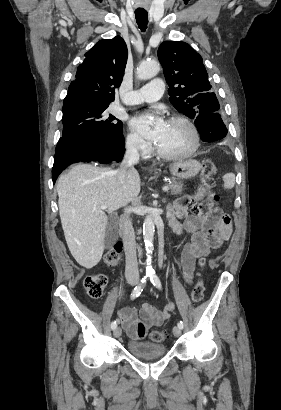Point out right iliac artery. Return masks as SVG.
<instances>
[{"label": "right iliac artery", "mask_w": 281, "mask_h": 410, "mask_svg": "<svg viewBox=\"0 0 281 410\" xmlns=\"http://www.w3.org/2000/svg\"><path fill=\"white\" fill-rule=\"evenodd\" d=\"M147 277H148V275H145V276L141 279V281H140V283L138 284V286H136V287L134 288V290H133L132 293H131V299H134V298L138 297V296L141 294V291H142L143 287L145 286V284H146V282H147ZM116 327H117V322H116V321H113V322L111 323V329L114 330Z\"/></svg>", "instance_id": "82829eb1"}]
</instances>
